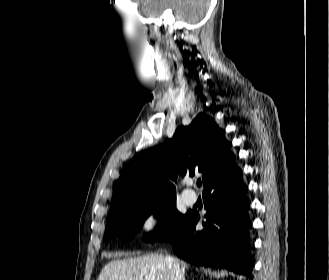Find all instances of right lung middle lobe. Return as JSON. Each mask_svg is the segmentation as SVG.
<instances>
[{"instance_id":"right-lung-middle-lobe-1","label":"right lung middle lobe","mask_w":329,"mask_h":280,"mask_svg":"<svg viewBox=\"0 0 329 280\" xmlns=\"http://www.w3.org/2000/svg\"><path fill=\"white\" fill-rule=\"evenodd\" d=\"M176 197L152 196L137 199L126 206L110 212L106 222V231L112 238L122 241L132 239L143 226L145 219L156 213L159 222L149 233L150 241L170 240L187 222L190 212L181 214L175 207Z\"/></svg>"}]
</instances>
